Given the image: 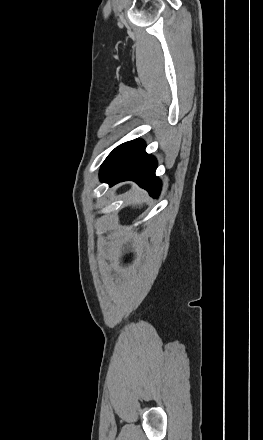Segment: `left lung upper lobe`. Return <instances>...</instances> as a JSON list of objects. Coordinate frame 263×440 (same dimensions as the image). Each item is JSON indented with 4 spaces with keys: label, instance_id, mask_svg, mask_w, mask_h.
Returning <instances> with one entry per match:
<instances>
[{
    "label": "left lung upper lobe",
    "instance_id": "1",
    "mask_svg": "<svg viewBox=\"0 0 263 440\" xmlns=\"http://www.w3.org/2000/svg\"><path fill=\"white\" fill-rule=\"evenodd\" d=\"M114 150H115V149H114ZM114 150H113V151L108 155V157L105 159V161L103 162V164H102V166H101V169L107 164V162L109 161V159H110L112 153L114 152Z\"/></svg>",
    "mask_w": 263,
    "mask_h": 440
}]
</instances>
